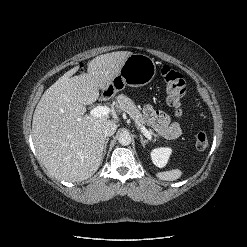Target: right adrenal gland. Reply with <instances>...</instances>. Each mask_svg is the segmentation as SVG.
Masks as SVG:
<instances>
[{
	"instance_id": "1",
	"label": "right adrenal gland",
	"mask_w": 247,
	"mask_h": 247,
	"mask_svg": "<svg viewBox=\"0 0 247 247\" xmlns=\"http://www.w3.org/2000/svg\"><path fill=\"white\" fill-rule=\"evenodd\" d=\"M108 141H109V138H105L104 148H103V156H105V154H106Z\"/></svg>"
}]
</instances>
